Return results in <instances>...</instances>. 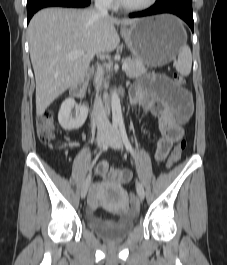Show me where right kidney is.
<instances>
[{"instance_id":"right-kidney-1","label":"right kidney","mask_w":227,"mask_h":265,"mask_svg":"<svg viewBox=\"0 0 227 265\" xmlns=\"http://www.w3.org/2000/svg\"><path fill=\"white\" fill-rule=\"evenodd\" d=\"M74 107L78 112L75 118L72 117V109ZM87 115L88 108L86 106H78L73 98H68L61 104L58 121L63 129L68 131L76 130L85 123Z\"/></svg>"}]
</instances>
